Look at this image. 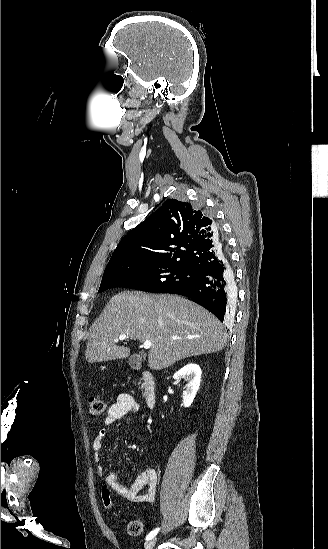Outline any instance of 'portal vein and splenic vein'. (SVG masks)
<instances>
[{
    "label": "portal vein and splenic vein",
    "instance_id": "portal-vein-and-splenic-vein-1",
    "mask_svg": "<svg viewBox=\"0 0 328 549\" xmlns=\"http://www.w3.org/2000/svg\"><path fill=\"white\" fill-rule=\"evenodd\" d=\"M124 339H128V335H120V337H118L116 341H124ZM172 339L173 341H177V339H181V337H172ZM151 345H152L151 341H145L142 347L143 349H150Z\"/></svg>",
    "mask_w": 328,
    "mask_h": 549
}]
</instances>
